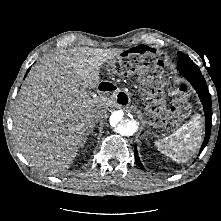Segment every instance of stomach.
Segmentation results:
<instances>
[{"label": "stomach", "instance_id": "0dacf381", "mask_svg": "<svg viewBox=\"0 0 221 221\" xmlns=\"http://www.w3.org/2000/svg\"><path fill=\"white\" fill-rule=\"evenodd\" d=\"M155 73H149L141 81L140 91L142 97L146 101V112L152 117L153 126L161 127L169 122L173 116L177 115L178 120L184 119V115L180 114V110L175 108L172 112V104L165 99V90L167 82L164 79V68L161 64L155 65Z\"/></svg>", "mask_w": 221, "mask_h": 221}]
</instances>
